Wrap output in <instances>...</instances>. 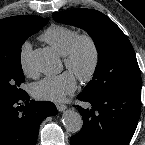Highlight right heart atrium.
Wrapping results in <instances>:
<instances>
[{"mask_svg": "<svg viewBox=\"0 0 145 145\" xmlns=\"http://www.w3.org/2000/svg\"><path fill=\"white\" fill-rule=\"evenodd\" d=\"M32 45L29 41L22 43L19 50V64L21 71L27 77H35L37 72L31 66Z\"/></svg>", "mask_w": 145, "mask_h": 145, "instance_id": "1", "label": "right heart atrium"}]
</instances>
